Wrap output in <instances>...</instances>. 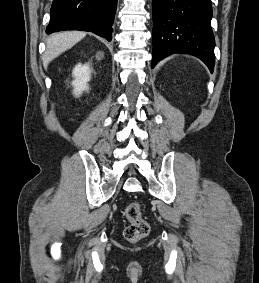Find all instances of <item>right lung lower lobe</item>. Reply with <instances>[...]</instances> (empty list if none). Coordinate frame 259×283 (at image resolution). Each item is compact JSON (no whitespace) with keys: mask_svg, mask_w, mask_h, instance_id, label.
I'll list each match as a JSON object with an SVG mask.
<instances>
[{"mask_svg":"<svg viewBox=\"0 0 259 283\" xmlns=\"http://www.w3.org/2000/svg\"><path fill=\"white\" fill-rule=\"evenodd\" d=\"M116 5L117 0H53L46 33L91 31L111 41Z\"/></svg>","mask_w":259,"mask_h":283,"instance_id":"obj_1","label":"right lung lower lobe"}]
</instances>
